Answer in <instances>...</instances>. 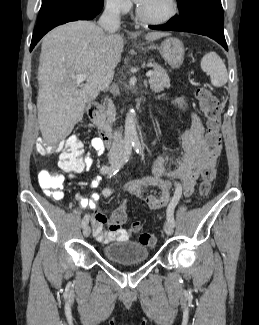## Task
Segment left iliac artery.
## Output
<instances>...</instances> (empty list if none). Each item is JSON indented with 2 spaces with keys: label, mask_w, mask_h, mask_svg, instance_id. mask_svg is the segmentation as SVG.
<instances>
[{
  "label": "left iliac artery",
  "mask_w": 259,
  "mask_h": 325,
  "mask_svg": "<svg viewBox=\"0 0 259 325\" xmlns=\"http://www.w3.org/2000/svg\"><path fill=\"white\" fill-rule=\"evenodd\" d=\"M133 147L138 154H142V148H141V145L139 142H134ZM180 197H181V186H180V184H176V190H175L174 196L167 208V220L173 226L175 225L174 209H175Z\"/></svg>",
  "instance_id": "44dca946"
}]
</instances>
